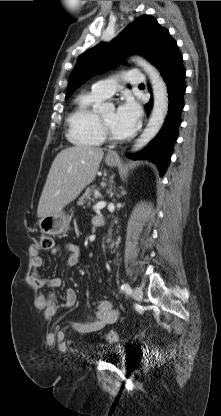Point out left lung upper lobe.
Segmentation results:
<instances>
[{"instance_id": "5c2ea615", "label": "left lung upper lobe", "mask_w": 221, "mask_h": 416, "mask_svg": "<svg viewBox=\"0 0 221 416\" xmlns=\"http://www.w3.org/2000/svg\"><path fill=\"white\" fill-rule=\"evenodd\" d=\"M167 31L154 18L143 15L127 26L110 43H100L89 49L80 56L71 73L66 98L89 77L109 68L127 55L137 53L150 60Z\"/></svg>"}]
</instances>
